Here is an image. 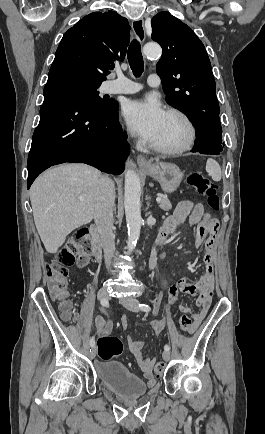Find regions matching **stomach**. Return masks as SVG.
Here are the masks:
<instances>
[{
  "instance_id": "1",
  "label": "stomach",
  "mask_w": 265,
  "mask_h": 434,
  "mask_svg": "<svg viewBox=\"0 0 265 434\" xmlns=\"http://www.w3.org/2000/svg\"><path fill=\"white\" fill-rule=\"evenodd\" d=\"M144 174L158 180L163 192L171 194L179 188L182 182L181 170L175 164H166V162H156L150 164V168H141Z\"/></svg>"
}]
</instances>
